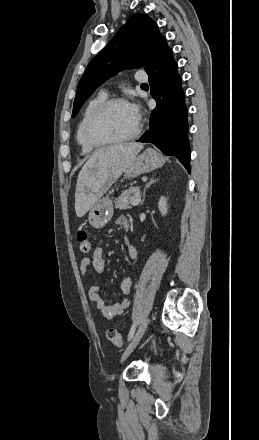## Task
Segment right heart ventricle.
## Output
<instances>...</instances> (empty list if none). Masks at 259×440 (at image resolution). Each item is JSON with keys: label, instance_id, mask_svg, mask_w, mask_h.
<instances>
[{"label": "right heart ventricle", "instance_id": "e07e8e85", "mask_svg": "<svg viewBox=\"0 0 259 440\" xmlns=\"http://www.w3.org/2000/svg\"><path fill=\"white\" fill-rule=\"evenodd\" d=\"M106 99H107V95L105 93H99L95 97H93L91 100H89V102L86 104V106L82 112L81 118H80L79 123L77 125L76 141H77L78 145L80 146L82 152L85 154L91 153L96 149V147L89 145L85 140V137H84L85 123H86L89 115L91 114V112L99 104L104 102Z\"/></svg>", "mask_w": 259, "mask_h": 440}]
</instances>
